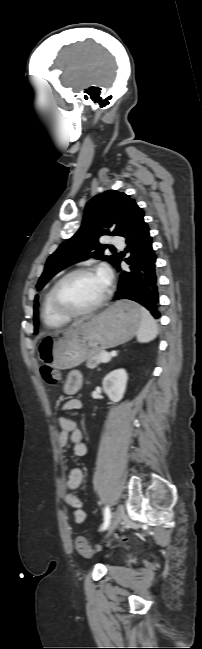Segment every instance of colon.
<instances>
[{
  "label": "colon",
  "instance_id": "5ec220e1",
  "mask_svg": "<svg viewBox=\"0 0 202 649\" xmlns=\"http://www.w3.org/2000/svg\"><path fill=\"white\" fill-rule=\"evenodd\" d=\"M40 374L43 380L49 385H55L60 380L59 372L50 366H42ZM75 544L77 551L84 557H90L97 551V548L93 547L83 537H77Z\"/></svg>",
  "mask_w": 202,
  "mask_h": 649
}]
</instances>
